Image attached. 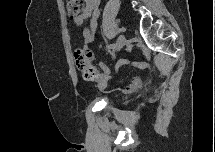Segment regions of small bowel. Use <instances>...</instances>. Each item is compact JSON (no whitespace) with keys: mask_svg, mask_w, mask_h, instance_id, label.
<instances>
[{"mask_svg":"<svg viewBox=\"0 0 215 152\" xmlns=\"http://www.w3.org/2000/svg\"><path fill=\"white\" fill-rule=\"evenodd\" d=\"M87 18H89V25L82 33L84 48L86 49H88L89 44L92 43L96 37L99 18L98 0H85L81 14L77 17H73L72 20L76 27H80ZM99 68L100 70L96 75L88 80L96 82L100 89H104L107 84V80L110 78V69L102 62L99 63ZM141 88L142 80L139 76H135L132 78L131 82L125 86L123 93L125 95H130Z\"/></svg>","mask_w":215,"mask_h":152,"instance_id":"c3829d8e","label":"small bowel"}]
</instances>
